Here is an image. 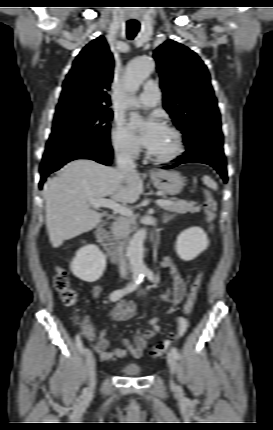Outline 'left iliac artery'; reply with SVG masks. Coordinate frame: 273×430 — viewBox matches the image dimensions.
Instances as JSON below:
<instances>
[{"label": "left iliac artery", "instance_id": "1", "mask_svg": "<svg viewBox=\"0 0 273 430\" xmlns=\"http://www.w3.org/2000/svg\"><path fill=\"white\" fill-rule=\"evenodd\" d=\"M142 274L144 275V277H147L149 280L156 281V278L150 269L143 270ZM177 319H178V321H180L179 322V333L185 334L187 331V326H186V322L183 321V319H184L183 316L180 315V316H178ZM171 352L173 353V355L175 356L176 359L179 358V352H178V349L176 347H173Z\"/></svg>", "mask_w": 273, "mask_h": 430}]
</instances>
